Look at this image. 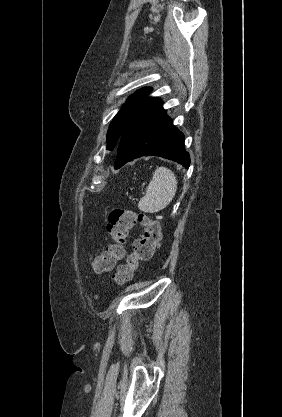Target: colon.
Here are the masks:
<instances>
[{"label":"colon","instance_id":"5ec220e1","mask_svg":"<svg viewBox=\"0 0 282 417\" xmlns=\"http://www.w3.org/2000/svg\"><path fill=\"white\" fill-rule=\"evenodd\" d=\"M134 226H139L143 230V235L134 241L132 254L118 267L113 276V282L117 285L130 281L137 269L152 260L162 236V228L158 220L137 210L113 209L107 224L110 242L104 252L90 260L91 266L97 273L110 271L122 258L123 245Z\"/></svg>","mask_w":282,"mask_h":417}]
</instances>
